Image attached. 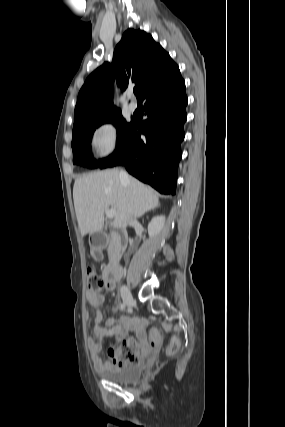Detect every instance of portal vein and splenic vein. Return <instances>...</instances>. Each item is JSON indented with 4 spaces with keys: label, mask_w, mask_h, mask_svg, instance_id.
I'll return each mask as SVG.
<instances>
[{
    "label": "portal vein and splenic vein",
    "mask_w": 285,
    "mask_h": 427,
    "mask_svg": "<svg viewBox=\"0 0 285 427\" xmlns=\"http://www.w3.org/2000/svg\"><path fill=\"white\" fill-rule=\"evenodd\" d=\"M105 214L108 218H113L115 216L116 212L112 208H105Z\"/></svg>",
    "instance_id": "1"
}]
</instances>
